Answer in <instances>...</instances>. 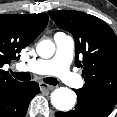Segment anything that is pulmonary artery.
<instances>
[{
  "instance_id": "obj_1",
  "label": "pulmonary artery",
  "mask_w": 117,
  "mask_h": 117,
  "mask_svg": "<svg viewBox=\"0 0 117 117\" xmlns=\"http://www.w3.org/2000/svg\"><path fill=\"white\" fill-rule=\"evenodd\" d=\"M54 42L56 51L52 58L22 63L18 66L19 70L40 75H54L70 87L81 86V78L70 70L75 49L74 38L69 34L57 32L54 35Z\"/></svg>"
}]
</instances>
